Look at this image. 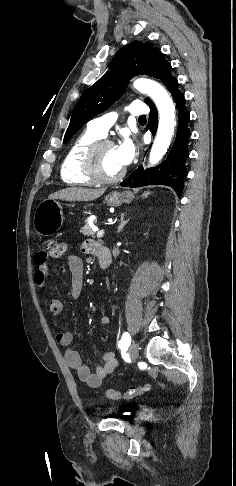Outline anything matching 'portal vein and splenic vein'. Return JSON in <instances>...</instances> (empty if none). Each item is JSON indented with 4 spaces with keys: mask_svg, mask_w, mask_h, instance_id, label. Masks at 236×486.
<instances>
[{
    "mask_svg": "<svg viewBox=\"0 0 236 486\" xmlns=\"http://www.w3.org/2000/svg\"><path fill=\"white\" fill-rule=\"evenodd\" d=\"M96 231H97V234H96L97 238L103 237V235L105 233L104 230H96Z\"/></svg>",
    "mask_w": 236,
    "mask_h": 486,
    "instance_id": "1",
    "label": "portal vein and splenic vein"
}]
</instances>
